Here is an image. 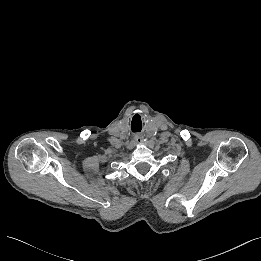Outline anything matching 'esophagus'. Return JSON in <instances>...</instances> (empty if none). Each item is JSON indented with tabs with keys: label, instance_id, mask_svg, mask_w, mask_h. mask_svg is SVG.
Instances as JSON below:
<instances>
[{
	"label": "esophagus",
	"instance_id": "34e87169",
	"mask_svg": "<svg viewBox=\"0 0 261 261\" xmlns=\"http://www.w3.org/2000/svg\"><path fill=\"white\" fill-rule=\"evenodd\" d=\"M135 143H139V139H135Z\"/></svg>",
	"mask_w": 261,
	"mask_h": 261
}]
</instances>
